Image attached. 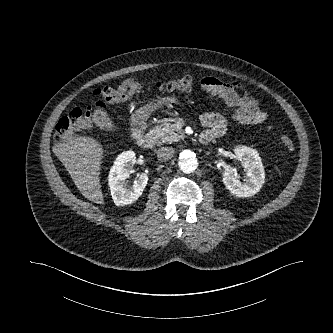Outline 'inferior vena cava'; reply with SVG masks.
I'll return each instance as SVG.
<instances>
[{
    "instance_id": "1",
    "label": "inferior vena cava",
    "mask_w": 333,
    "mask_h": 333,
    "mask_svg": "<svg viewBox=\"0 0 333 333\" xmlns=\"http://www.w3.org/2000/svg\"><path fill=\"white\" fill-rule=\"evenodd\" d=\"M174 155V149L168 147H162L157 150V158L159 161H168Z\"/></svg>"
}]
</instances>
